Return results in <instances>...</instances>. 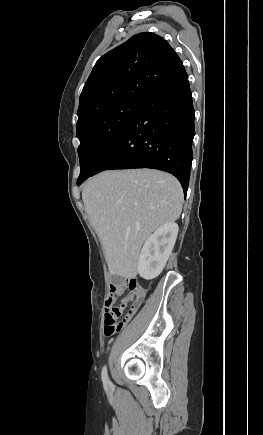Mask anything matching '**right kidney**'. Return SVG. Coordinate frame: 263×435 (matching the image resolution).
I'll use <instances>...</instances> for the list:
<instances>
[{"label": "right kidney", "mask_w": 263, "mask_h": 435, "mask_svg": "<svg viewBox=\"0 0 263 435\" xmlns=\"http://www.w3.org/2000/svg\"><path fill=\"white\" fill-rule=\"evenodd\" d=\"M178 229L175 222H167L147 238L139 255L137 267L142 278L151 280L162 272L173 250Z\"/></svg>", "instance_id": "right-kidney-1"}]
</instances>
